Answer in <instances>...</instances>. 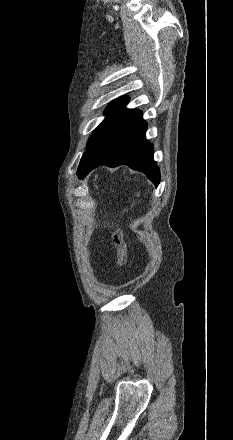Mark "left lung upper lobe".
Returning a JSON list of instances; mask_svg holds the SVG:
<instances>
[{"mask_svg": "<svg viewBox=\"0 0 233 440\" xmlns=\"http://www.w3.org/2000/svg\"><path fill=\"white\" fill-rule=\"evenodd\" d=\"M129 98L121 97L114 100L105 110V114L107 117L103 120V122L94 130L91 137L88 140L86 153L83 154L80 163L85 159L86 155L92 148V146L96 143L98 138L104 132L106 127L124 110L125 105L128 103Z\"/></svg>", "mask_w": 233, "mask_h": 440, "instance_id": "left-lung-upper-lobe-1", "label": "left lung upper lobe"}]
</instances>
